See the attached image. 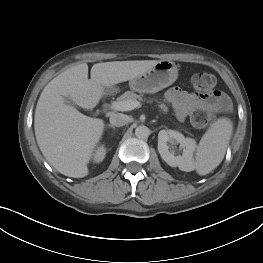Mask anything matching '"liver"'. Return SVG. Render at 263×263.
I'll use <instances>...</instances> for the list:
<instances>
[{
	"label": "liver",
	"mask_w": 263,
	"mask_h": 263,
	"mask_svg": "<svg viewBox=\"0 0 263 263\" xmlns=\"http://www.w3.org/2000/svg\"><path fill=\"white\" fill-rule=\"evenodd\" d=\"M157 60L112 61L94 64L88 79L86 63L52 79L37 102L34 129L38 146L48 163L61 174L82 178L104 130V121L64 103L70 97L85 109L94 108L104 88L131 80L152 68Z\"/></svg>",
	"instance_id": "6515ba94"
}]
</instances>
